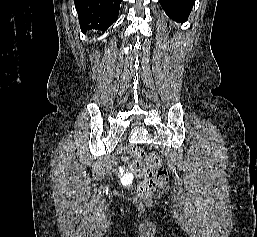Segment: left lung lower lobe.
<instances>
[{
	"label": "left lung lower lobe",
	"instance_id": "left-lung-lower-lobe-1",
	"mask_svg": "<svg viewBox=\"0 0 257 237\" xmlns=\"http://www.w3.org/2000/svg\"><path fill=\"white\" fill-rule=\"evenodd\" d=\"M159 2L172 20L183 23L188 19L195 0H159Z\"/></svg>",
	"mask_w": 257,
	"mask_h": 237
}]
</instances>
